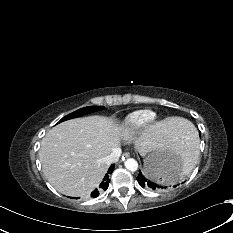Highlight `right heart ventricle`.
<instances>
[{
	"mask_svg": "<svg viewBox=\"0 0 233 233\" xmlns=\"http://www.w3.org/2000/svg\"><path fill=\"white\" fill-rule=\"evenodd\" d=\"M156 119V113L148 110H137L129 115L122 122V136L129 140L135 137L140 132L150 127Z\"/></svg>",
	"mask_w": 233,
	"mask_h": 233,
	"instance_id": "e07e8e85",
	"label": "right heart ventricle"
}]
</instances>
